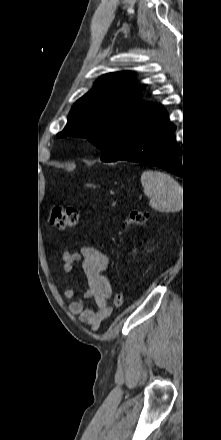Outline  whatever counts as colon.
<instances>
[{"instance_id":"colon-1","label":"colon","mask_w":221,"mask_h":440,"mask_svg":"<svg viewBox=\"0 0 221 440\" xmlns=\"http://www.w3.org/2000/svg\"><path fill=\"white\" fill-rule=\"evenodd\" d=\"M80 220V212L77 208L72 206H54L48 216V222L51 226L66 229L75 227ZM147 220V213L145 211H132L125 220V226H139L143 225ZM125 297L120 291L116 292L113 296V306L116 309L121 308L124 305Z\"/></svg>"}]
</instances>
